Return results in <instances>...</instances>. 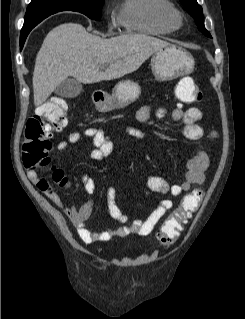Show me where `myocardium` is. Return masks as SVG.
<instances>
[{
	"label": "myocardium",
	"mask_w": 245,
	"mask_h": 319,
	"mask_svg": "<svg viewBox=\"0 0 245 319\" xmlns=\"http://www.w3.org/2000/svg\"><path fill=\"white\" fill-rule=\"evenodd\" d=\"M168 18L174 27H178L181 25V15L173 7L168 12Z\"/></svg>",
	"instance_id": "myocardium-1"
}]
</instances>
